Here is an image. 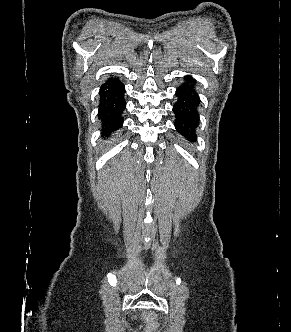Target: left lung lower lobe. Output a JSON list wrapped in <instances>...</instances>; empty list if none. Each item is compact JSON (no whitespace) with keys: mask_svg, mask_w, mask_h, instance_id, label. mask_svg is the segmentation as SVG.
Listing matches in <instances>:
<instances>
[{"mask_svg":"<svg viewBox=\"0 0 291 332\" xmlns=\"http://www.w3.org/2000/svg\"><path fill=\"white\" fill-rule=\"evenodd\" d=\"M176 96L178 99L173 106L175 128L188 140L195 141V131L199 124L197 107L200 99L195 89L193 77L189 75L184 77V83L177 88Z\"/></svg>","mask_w":291,"mask_h":332,"instance_id":"left-lung-lower-lobe-1","label":"left lung lower lobe"}]
</instances>
